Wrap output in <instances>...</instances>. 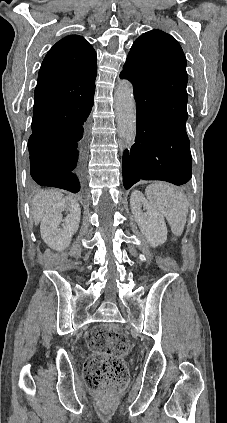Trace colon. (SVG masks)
Segmentation results:
<instances>
[{
  "label": "colon",
  "instance_id": "obj_1",
  "mask_svg": "<svg viewBox=\"0 0 227 423\" xmlns=\"http://www.w3.org/2000/svg\"><path fill=\"white\" fill-rule=\"evenodd\" d=\"M87 345L91 350L84 367L87 387L107 396L120 393L128 381L127 336L113 326L99 325L88 333Z\"/></svg>",
  "mask_w": 227,
  "mask_h": 423
}]
</instances>
